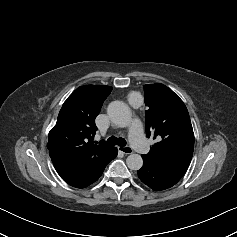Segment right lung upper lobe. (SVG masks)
Wrapping results in <instances>:
<instances>
[{"instance_id": "right-lung-upper-lobe-1", "label": "right lung upper lobe", "mask_w": 237, "mask_h": 237, "mask_svg": "<svg viewBox=\"0 0 237 237\" xmlns=\"http://www.w3.org/2000/svg\"><path fill=\"white\" fill-rule=\"evenodd\" d=\"M112 87L85 85L77 88L64 102L56 125L50 130L47 147L50 155H64L87 163L104 158L113 149L95 145V118Z\"/></svg>"}]
</instances>
